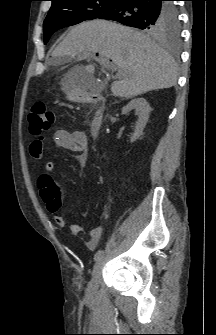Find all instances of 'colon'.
<instances>
[{
	"instance_id": "1",
	"label": "colon",
	"mask_w": 216,
	"mask_h": 335,
	"mask_svg": "<svg viewBox=\"0 0 216 335\" xmlns=\"http://www.w3.org/2000/svg\"><path fill=\"white\" fill-rule=\"evenodd\" d=\"M55 115L49 110L44 103H37L29 114L30 132L34 135H39L48 131L54 124ZM45 200H54L55 192L52 188L43 193ZM59 206V203L55 201Z\"/></svg>"
}]
</instances>
